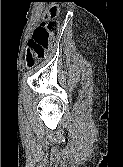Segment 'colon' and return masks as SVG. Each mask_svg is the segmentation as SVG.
I'll use <instances>...</instances> for the list:
<instances>
[{
  "instance_id": "obj_1",
  "label": "colon",
  "mask_w": 123,
  "mask_h": 167,
  "mask_svg": "<svg viewBox=\"0 0 123 167\" xmlns=\"http://www.w3.org/2000/svg\"><path fill=\"white\" fill-rule=\"evenodd\" d=\"M58 13L57 8H50L45 20L34 29L28 41L26 54V65L28 68H32L37 60L44 57L53 34L59 29Z\"/></svg>"
}]
</instances>
